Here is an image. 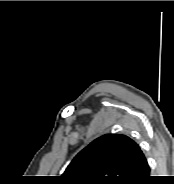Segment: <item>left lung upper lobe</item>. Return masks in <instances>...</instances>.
I'll return each instance as SVG.
<instances>
[{
    "label": "left lung upper lobe",
    "instance_id": "left-lung-upper-lobe-1",
    "mask_svg": "<svg viewBox=\"0 0 174 184\" xmlns=\"http://www.w3.org/2000/svg\"><path fill=\"white\" fill-rule=\"evenodd\" d=\"M139 153L128 136L106 134L79 152L62 176L67 184H126Z\"/></svg>",
    "mask_w": 174,
    "mask_h": 184
}]
</instances>
